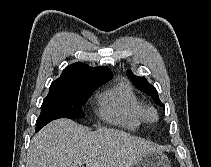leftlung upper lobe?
Masks as SVG:
<instances>
[{
  "mask_svg": "<svg viewBox=\"0 0 211 167\" xmlns=\"http://www.w3.org/2000/svg\"><path fill=\"white\" fill-rule=\"evenodd\" d=\"M127 76L130 78V80L134 83V85L141 90L142 92L148 94L149 96L152 97V99L160 106H163L165 108V106L162 104V102L159 100L158 97V92L156 91V89L149 84V82L143 78V77H138L135 76L131 70L127 71Z\"/></svg>",
  "mask_w": 211,
  "mask_h": 167,
  "instance_id": "5c2ea615",
  "label": "left lung upper lobe"
}]
</instances>
